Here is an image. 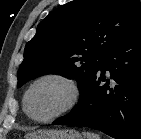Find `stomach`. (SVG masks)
I'll return each mask as SVG.
<instances>
[{"label": "stomach", "mask_w": 141, "mask_h": 139, "mask_svg": "<svg viewBox=\"0 0 141 139\" xmlns=\"http://www.w3.org/2000/svg\"><path fill=\"white\" fill-rule=\"evenodd\" d=\"M25 139H83V137L74 129H64L36 131L28 134Z\"/></svg>", "instance_id": "1"}]
</instances>
